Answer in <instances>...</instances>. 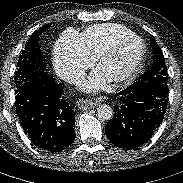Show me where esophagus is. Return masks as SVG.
Here are the masks:
<instances>
[{"label":"esophagus","instance_id":"obj_1","mask_svg":"<svg viewBox=\"0 0 183 183\" xmlns=\"http://www.w3.org/2000/svg\"><path fill=\"white\" fill-rule=\"evenodd\" d=\"M104 98L100 97L96 100H90V99H79L78 102H77V107L80 109V110H89L91 108H94L95 106L98 105V103Z\"/></svg>","mask_w":183,"mask_h":183}]
</instances>
